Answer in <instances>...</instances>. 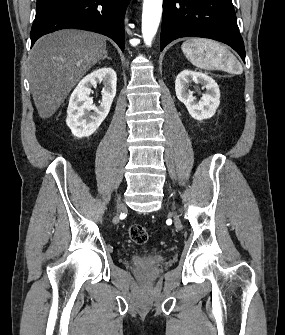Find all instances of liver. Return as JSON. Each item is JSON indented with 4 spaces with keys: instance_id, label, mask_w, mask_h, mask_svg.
<instances>
[{
    "instance_id": "6515ba94",
    "label": "liver",
    "mask_w": 285,
    "mask_h": 335,
    "mask_svg": "<svg viewBox=\"0 0 285 335\" xmlns=\"http://www.w3.org/2000/svg\"><path fill=\"white\" fill-rule=\"evenodd\" d=\"M106 40L84 30H60L43 36L29 56V84L40 118H51L77 82L102 60Z\"/></svg>"
}]
</instances>
